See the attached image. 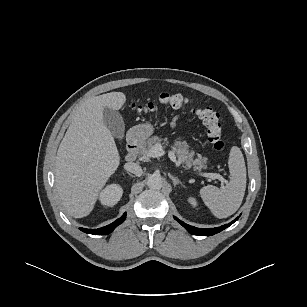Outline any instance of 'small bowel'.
<instances>
[{"label": "small bowel", "mask_w": 307, "mask_h": 307, "mask_svg": "<svg viewBox=\"0 0 307 307\" xmlns=\"http://www.w3.org/2000/svg\"><path fill=\"white\" fill-rule=\"evenodd\" d=\"M175 124H176V123H175V120H174V121L172 122V126H175Z\"/></svg>", "instance_id": "c3829d8e"}]
</instances>
